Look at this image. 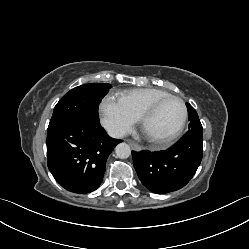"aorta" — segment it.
<instances>
[{"mask_svg": "<svg viewBox=\"0 0 249 249\" xmlns=\"http://www.w3.org/2000/svg\"><path fill=\"white\" fill-rule=\"evenodd\" d=\"M116 156L120 159H126L131 155V148L126 143H120L115 147Z\"/></svg>", "mask_w": 249, "mask_h": 249, "instance_id": "1", "label": "aorta"}]
</instances>
